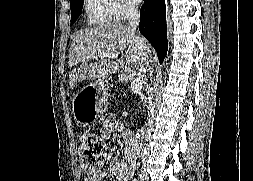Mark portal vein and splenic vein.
<instances>
[{
	"label": "portal vein and splenic vein",
	"instance_id": "18ae733b",
	"mask_svg": "<svg viewBox=\"0 0 253 181\" xmlns=\"http://www.w3.org/2000/svg\"><path fill=\"white\" fill-rule=\"evenodd\" d=\"M99 57L103 58V57H108V58H111V59H117L118 58V54L117 53H112V52H103V53H100L98 55ZM129 80L131 81V89L133 91H138L141 89L142 87V82L140 80V78L136 77L135 74H130L128 76Z\"/></svg>",
	"mask_w": 253,
	"mask_h": 181
}]
</instances>
